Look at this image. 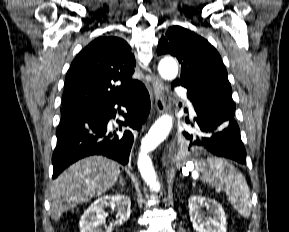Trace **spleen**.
<instances>
[{
  "instance_id": "3e777b00",
  "label": "spleen",
  "mask_w": 289,
  "mask_h": 232,
  "mask_svg": "<svg viewBox=\"0 0 289 232\" xmlns=\"http://www.w3.org/2000/svg\"><path fill=\"white\" fill-rule=\"evenodd\" d=\"M196 169L202 173L204 182L226 192L228 201L241 216L249 217L252 207L250 190L241 172L220 158H208L207 164L199 163Z\"/></svg>"
}]
</instances>
